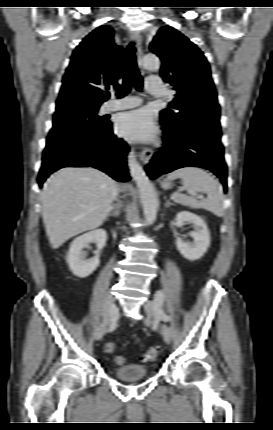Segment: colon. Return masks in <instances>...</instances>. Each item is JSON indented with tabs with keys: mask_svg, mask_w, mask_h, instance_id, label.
Wrapping results in <instances>:
<instances>
[{
	"mask_svg": "<svg viewBox=\"0 0 273 430\" xmlns=\"http://www.w3.org/2000/svg\"><path fill=\"white\" fill-rule=\"evenodd\" d=\"M114 347V343L109 342L106 344L105 349L107 352H112L114 350ZM159 351V347H151L145 353L142 354L141 358L144 361H153L157 358ZM114 361L119 366L124 365L126 363V359L121 355L115 356Z\"/></svg>",
	"mask_w": 273,
	"mask_h": 430,
	"instance_id": "5ec220e1",
	"label": "colon"
}]
</instances>
